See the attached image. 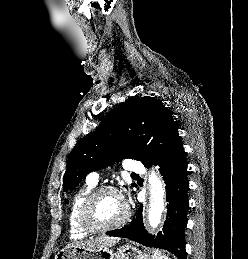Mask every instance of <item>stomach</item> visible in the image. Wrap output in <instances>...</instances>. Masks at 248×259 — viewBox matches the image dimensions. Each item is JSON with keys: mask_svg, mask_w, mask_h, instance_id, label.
I'll return each instance as SVG.
<instances>
[{"mask_svg": "<svg viewBox=\"0 0 248 259\" xmlns=\"http://www.w3.org/2000/svg\"><path fill=\"white\" fill-rule=\"evenodd\" d=\"M154 251L143 252L131 244H125L114 252L111 248L86 249L69 246L55 254L54 259H154Z\"/></svg>", "mask_w": 248, "mask_h": 259, "instance_id": "obj_1", "label": "stomach"}]
</instances>
